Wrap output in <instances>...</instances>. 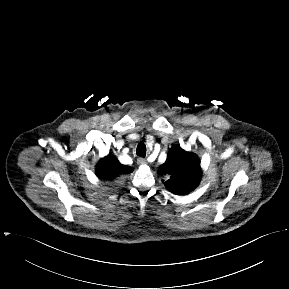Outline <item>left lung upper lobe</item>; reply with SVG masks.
Segmentation results:
<instances>
[{
	"label": "left lung upper lobe",
	"instance_id": "obj_1",
	"mask_svg": "<svg viewBox=\"0 0 289 289\" xmlns=\"http://www.w3.org/2000/svg\"><path fill=\"white\" fill-rule=\"evenodd\" d=\"M201 173L198 157L184 151L180 145L169 150L166 162L159 169V174L168 178L164 183L166 189L177 195L192 191L197 186Z\"/></svg>",
	"mask_w": 289,
	"mask_h": 289
}]
</instances>
